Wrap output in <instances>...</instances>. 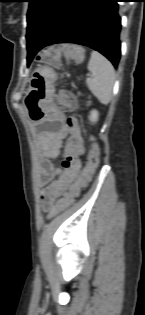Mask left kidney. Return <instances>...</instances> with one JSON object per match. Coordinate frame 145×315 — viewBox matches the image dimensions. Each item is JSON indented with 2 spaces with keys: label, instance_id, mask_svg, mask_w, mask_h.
<instances>
[{
  "label": "left kidney",
  "instance_id": "1",
  "mask_svg": "<svg viewBox=\"0 0 145 315\" xmlns=\"http://www.w3.org/2000/svg\"><path fill=\"white\" fill-rule=\"evenodd\" d=\"M89 119L92 123H95L98 120V112L96 110H92Z\"/></svg>",
  "mask_w": 145,
  "mask_h": 315
}]
</instances>
